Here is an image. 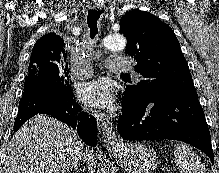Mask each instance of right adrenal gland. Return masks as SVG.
<instances>
[{"label":"right adrenal gland","instance_id":"1","mask_svg":"<svg viewBox=\"0 0 219 173\" xmlns=\"http://www.w3.org/2000/svg\"><path fill=\"white\" fill-rule=\"evenodd\" d=\"M75 170H76V173H80L82 171L81 168H78V167H76Z\"/></svg>","mask_w":219,"mask_h":173}]
</instances>
